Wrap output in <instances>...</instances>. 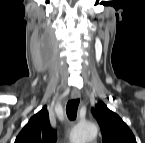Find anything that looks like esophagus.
I'll return each mask as SVG.
<instances>
[{"label": "esophagus", "instance_id": "1", "mask_svg": "<svg viewBox=\"0 0 145 143\" xmlns=\"http://www.w3.org/2000/svg\"><path fill=\"white\" fill-rule=\"evenodd\" d=\"M80 91L78 89H73L71 92L72 99H79L80 98Z\"/></svg>", "mask_w": 145, "mask_h": 143}]
</instances>
